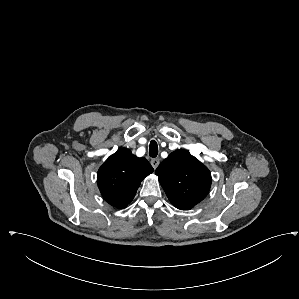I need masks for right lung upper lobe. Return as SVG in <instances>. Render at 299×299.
Here are the masks:
<instances>
[{"label":"right lung upper lobe","mask_w":299,"mask_h":299,"mask_svg":"<svg viewBox=\"0 0 299 299\" xmlns=\"http://www.w3.org/2000/svg\"><path fill=\"white\" fill-rule=\"evenodd\" d=\"M145 158H138L129 149H119L99 168L97 182L103 198L122 209L134 198L141 181L153 172Z\"/></svg>","instance_id":"obj_1"}]
</instances>
